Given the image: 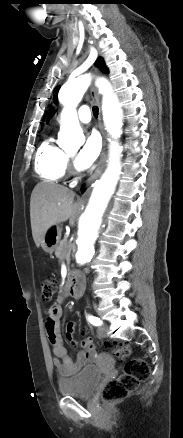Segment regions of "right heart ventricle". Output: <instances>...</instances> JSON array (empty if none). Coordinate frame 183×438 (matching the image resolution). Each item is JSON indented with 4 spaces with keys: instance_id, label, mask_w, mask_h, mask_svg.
<instances>
[{
    "instance_id": "1",
    "label": "right heart ventricle",
    "mask_w": 183,
    "mask_h": 438,
    "mask_svg": "<svg viewBox=\"0 0 183 438\" xmlns=\"http://www.w3.org/2000/svg\"><path fill=\"white\" fill-rule=\"evenodd\" d=\"M67 160L66 153L47 140L41 144L37 151L35 169L46 181L59 182L66 174Z\"/></svg>"
}]
</instances>
